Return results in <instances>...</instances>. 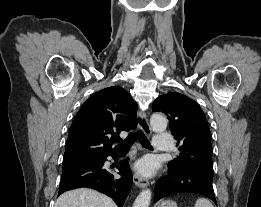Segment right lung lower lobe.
Masks as SVG:
<instances>
[{
	"mask_svg": "<svg viewBox=\"0 0 261 207\" xmlns=\"http://www.w3.org/2000/svg\"><path fill=\"white\" fill-rule=\"evenodd\" d=\"M116 155L117 153H111L98 157L94 164L63 169L58 196L71 189L88 187L108 195L118 207H123L133 183V176L127 158L117 166L118 173L122 176L119 179L104 166L107 156Z\"/></svg>",
	"mask_w": 261,
	"mask_h": 207,
	"instance_id": "1",
	"label": "right lung lower lobe"
}]
</instances>
